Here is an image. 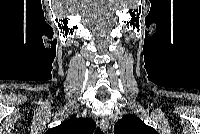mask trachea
Returning <instances> with one entry per match:
<instances>
[{
  "label": "trachea",
  "instance_id": "obj_1",
  "mask_svg": "<svg viewBox=\"0 0 200 134\" xmlns=\"http://www.w3.org/2000/svg\"><path fill=\"white\" fill-rule=\"evenodd\" d=\"M95 134H103V132L100 130H96Z\"/></svg>",
  "mask_w": 200,
  "mask_h": 134
}]
</instances>
